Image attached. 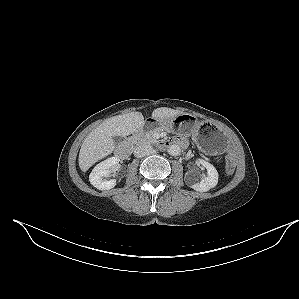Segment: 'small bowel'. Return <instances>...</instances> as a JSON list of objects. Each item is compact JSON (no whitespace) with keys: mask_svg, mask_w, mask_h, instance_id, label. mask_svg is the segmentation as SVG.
<instances>
[{"mask_svg":"<svg viewBox=\"0 0 299 299\" xmlns=\"http://www.w3.org/2000/svg\"><path fill=\"white\" fill-rule=\"evenodd\" d=\"M180 139V138H179ZM183 140V139H182ZM184 142H185V140H184ZM185 144H186V142H185ZM185 144L183 145V146H185Z\"/></svg>","mask_w":299,"mask_h":299,"instance_id":"1","label":"small bowel"}]
</instances>
